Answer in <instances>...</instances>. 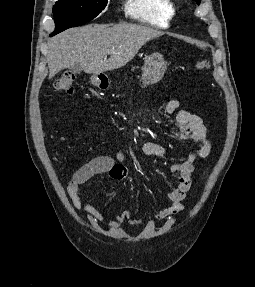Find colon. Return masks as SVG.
Masks as SVG:
<instances>
[{
    "mask_svg": "<svg viewBox=\"0 0 255 287\" xmlns=\"http://www.w3.org/2000/svg\"><path fill=\"white\" fill-rule=\"evenodd\" d=\"M195 68L198 71H204L209 68V62L205 59H200L196 62ZM74 74L72 72H65L62 76L56 80V90L65 94L71 95L74 93Z\"/></svg>",
    "mask_w": 255,
    "mask_h": 287,
    "instance_id": "obj_1",
    "label": "colon"
}]
</instances>
